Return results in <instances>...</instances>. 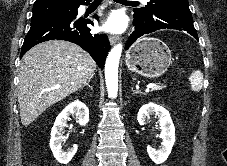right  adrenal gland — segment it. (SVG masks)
<instances>
[{
	"label": "right adrenal gland",
	"instance_id": "right-adrenal-gland-1",
	"mask_svg": "<svg viewBox=\"0 0 227 166\" xmlns=\"http://www.w3.org/2000/svg\"><path fill=\"white\" fill-rule=\"evenodd\" d=\"M90 79L85 83L86 86H88L91 90H92V87L90 86Z\"/></svg>",
	"mask_w": 227,
	"mask_h": 166
}]
</instances>
